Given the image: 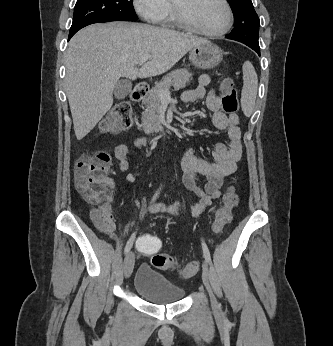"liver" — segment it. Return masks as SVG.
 I'll use <instances>...</instances> for the list:
<instances>
[{"instance_id":"liver-1","label":"liver","mask_w":333,"mask_h":346,"mask_svg":"<svg viewBox=\"0 0 333 346\" xmlns=\"http://www.w3.org/2000/svg\"><path fill=\"white\" fill-rule=\"evenodd\" d=\"M206 39L134 23L90 25L77 32L65 52V89L75 135L84 138L109 111L120 77L161 75ZM145 54L151 58L137 67Z\"/></svg>"}]
</instances>
